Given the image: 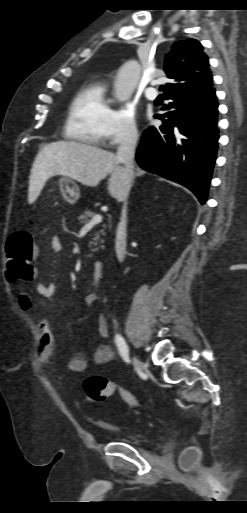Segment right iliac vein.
Returning <instances> with one entry per match:
<instances>
[{
    "label": "right iliac vein",
    "mask_w": 247,
    "mask_h": 513,
    "mask_svg": "<svg viewBox=\"0 0 247 513\" xmlns=\"http://www.w3.org/2000/svg\"><path fill=\"white\" fill-rule=\"evenodd\" d=\"M134 364L138 371L142 372L144 370V363L137 357H134Z\"/></svg>",
    "instance_id": "obj_1"
}]
</instances>
